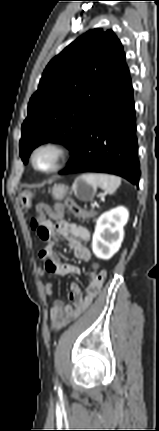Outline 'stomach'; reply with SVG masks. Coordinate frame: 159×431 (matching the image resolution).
Here are the masks:
<instances>
[{
    "instance_id": "obj_1",
    "label": "stomach",
    "mask_w": 159,
    "mask_h": 431,
    "mask_svg": "<svg viewBox=\"0 0 159 431\" xmlns=\"http://www.w3.org/2000/svg\"><path fill=\"white\" fill-rule=\"evenodd\" d=\"M68 188L65 185L58 184L52 188V196L56 200H62L67 194ZM75 196L82 201H91L96 193V187L86 182L82 176L78 177L73 185ZM33 193L30 190H23L19 199L23 208L31 207Z\"/></svg>"
}]
</instances>
